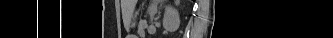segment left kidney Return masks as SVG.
I'll return each instance as SVG.
<instances>
[{"label":"left kidney","instance_id":"5707ae66","mask_svg":"<svg viewBox=\"0 0 333 38\" xmlns=\"http://www.w3.org/2000/svg\"><path fill=\"white\" fill-rule=\"evenodd\" d=\"M180 24V17L178 11L173 7H166L164 18H163V26L168 31H175Z\"/></svg>","mask_w":333,"mask_h":38}]
</instances>
